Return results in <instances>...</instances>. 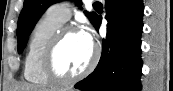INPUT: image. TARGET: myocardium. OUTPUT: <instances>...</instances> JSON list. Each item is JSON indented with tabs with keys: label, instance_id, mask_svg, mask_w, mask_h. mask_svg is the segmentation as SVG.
<instances>
[{
	"label": "myocardium",
	"instance_id": "1",
	"mask_svg": "<svg viewBox=\"0 0 173 91\" xmlns=\"http://www.w3.org/2000/svg\"><path fill=\"white\" fill-rule=\"evenodd\" d=\"M71 33H81V31L77 27L71 25L62 26L51 37V39L48 41L43 51L40 63L41 71L43 75L53 84L67 85L76 82L78 80H81L94 70L99 61V56H100L99 48L95 44H92L91 60L89 64L81 72L70 76L59 74L55 70L54 66L55 55L61 42L64 40V38L67 35Z\"/></svg>",
	"mask_w": 173,
	"mask_h": 91
}]
</instances>
